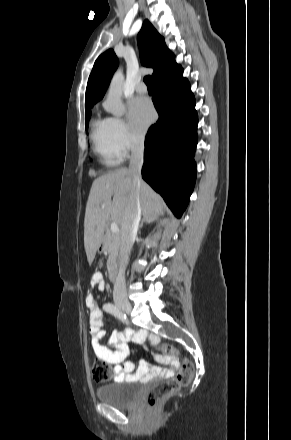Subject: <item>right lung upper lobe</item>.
Here are the masks:
<instances>
[{"instance_id": "1", "label": "right lung upper lobe", "mask_w": 291, "mask_h": 440, "mask_svg": "<svg viewBox=\"0 0 291 440\" xmlns=\"http://www.w3.org/2000/svg\"><path fill=\"white\" fill-rule=\"evenodd\" d=\"M137 40L142 64L154 69L153 81L180 67L175 62L174 54L166 47L164 38L159 35L148 20L144 21ZM117 65L118 58L112 49L107 50L97 58L86 88V110H89L102 99Z\"/></svg>"}]
</instances>
